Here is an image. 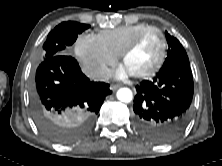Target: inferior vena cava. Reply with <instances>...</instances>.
Wrapping results in <instances>:
<instances>
[{"instance_id":"inferior-vena-cava-1","label":"inferior vena cava","mask_w":222,"mask_h":166,"mask_svg":"<svg viewBox=\"0 0 222 166\" xmlns=\"http://www.w3.org/2000/svg\"><path fill=\"white\" fill-rule=\"evenodd\" d=\"M85 74L95 81H107L111 77V71L106 66L86 70Z\"/></svg>"}]
</instances>
